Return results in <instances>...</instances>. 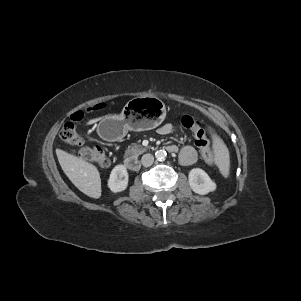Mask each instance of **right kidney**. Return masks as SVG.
Segmentation results:
<instances>
[{"mask_svg": "<svg viewBox=\"0 0 301 301\" xmlns=\"http://www.w3.org/2000/svg\"><path fill=\"white\" fill-rule=\"evenodd\" d=\"M128 186V172L124 165L115 166L108 180L109 189L114 192L124 191Z\"/></svg>", "mask_w": 301, "mask_h": 301, "instance_id": "right-kidney-1", "label": "right kidney"}]
</instances>
